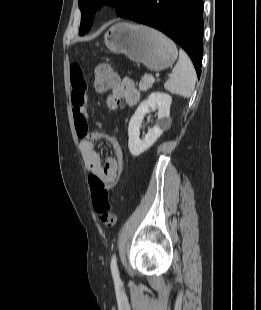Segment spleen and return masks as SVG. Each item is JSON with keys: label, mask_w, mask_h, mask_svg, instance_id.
I'll return each instance as SVG.
<instances>
[{"label": "spleen", "mask_w": 261, "mask_h": 310, "mask_svg": "<svg viewBox=\"0 0 261 310\" xmlns=\"http://www.w3.org/2000/svg\"><path fill=\"white\" fill-rule=\"evenodd\" d=\"M196 79V71L190 58L180 50L179 60L172 70V75L164 84L165 89L172 94L189 98L194 91Z\"/></svg>", "instance_id": "3e777b00"}]
</instances>
